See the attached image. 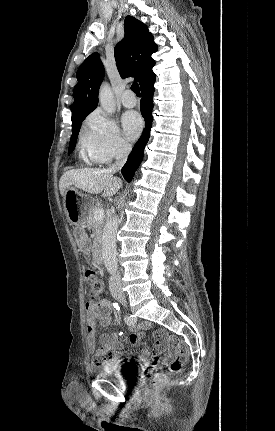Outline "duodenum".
<instances>
[{"instance_id":"1","label":"duodenum","mask_w":275,"mask_h":431,"mask_svg":"<svg viewBox=\"0 0 275 431\" xmlns=\"http://www.w3.org/2000/svg\"><path fill=\"white\" fill-rule=\"evenodd\" d=\"M92 252L94 262L101 264L103 262V251L100 241L94 244Z\"/></svg>"}]
</instances>
